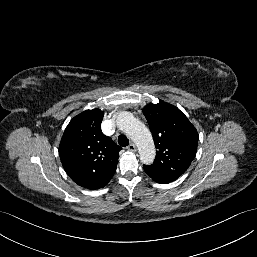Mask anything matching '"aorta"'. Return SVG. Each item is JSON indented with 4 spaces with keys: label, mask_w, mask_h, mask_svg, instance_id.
Instances as JSON below:
<instances>
[{
    "label": "aorta",
    "mask_w": 257,
    "mask_h": 257,
    "mask_svg": "<svg viewBox=\"0 0 257 257\" xmlns=\"http://www.w3.org/2000/svg\"><path fill=\"white\" fill-rule=\"evenodd\" d=\"M117 126L136 143L141 162L151 164L155 158V146L148 128L130 112L119 114Z\"/></svg>",
    "instance_id": "762f6f07"
}]
</instances>
